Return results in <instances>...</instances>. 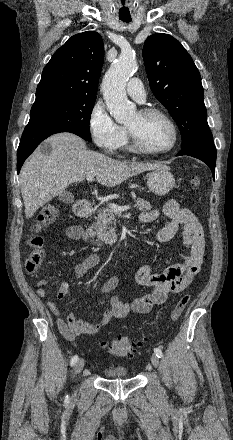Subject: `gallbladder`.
I'll return each instance as SVG.
<instances>
[{
	"label": "gallbladder",
	"instance_id": "obj_1",
	"mask_svg": "<svg viewBox=\"0 0 233 440\" xmlns=\"http://www.w3.org/2000/svg\"><path fill=\"white\" fill-rule=\"evenodd\" d=\"M58 198H59L60 201H62L64 203H73L74 202L73 194L70 193V192H67V191L63 192V193H60L58 195Z\"/></svg>",
	"mask_w": 233,
	"mask_h": 440
}]
</instances>
